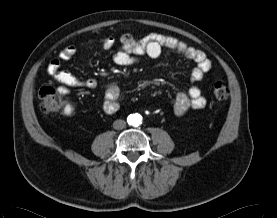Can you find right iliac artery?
<instances>
[{"instance_id":"obj_1","label":"right iliac artery","mask_w":277,"mask_h":218,"mask_svg":"<svg viewBox=\"0 0 277 218\" xmlns=\"http://www.w3.org/2000/svg\"><path fill=\"white\" fill-rule=\"evenodd\" d=\"M132 120H133V117H132V118L127 119V121H128V122H132Z\"/></svg>"}]
</instances>
